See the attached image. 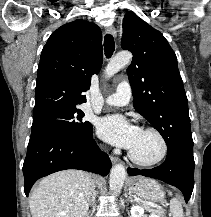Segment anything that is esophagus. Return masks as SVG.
Wrapping results in <instances>:
<instances>
[{
	"instance_id": "34e87169",
	"label": "esophagus",
	"mask_w": 211,
	"mask_h": 217,
	"mask_svg": "<svg viewBox=\"0 0 211 217\" xmlns=\"http://www.w3.org/2000/svg\"><path fill=\"white\" fill-rule=\"evenodd\" d=\"M105 30L108 34H111L112 36L116 37V30L113 26L106 27ZM110 159L114 164L120 162V159L118 157L111 156Z\"/></svg>"
}]
</instances>
